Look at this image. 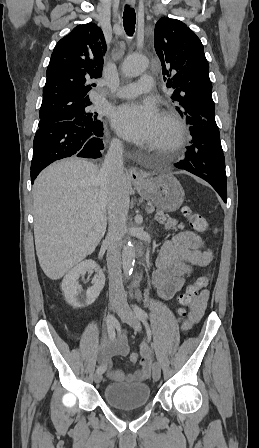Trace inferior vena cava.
Listing matches in <instances>:
<instances>
[{"mask_svg":"<svg viewBox=\"0 0 259 448\" xmlns=\"http://www.w3.org/2000/svg\"><path fill=\"white\" fill-rule=\"evenodd\" d=\"M123 144L112 140L99 172L100 188L107 192V210L109 230L105 244L107 250V268L109 272V298L116 304H127L121 272L122 238L126 232L129 196L123 166Z\"/></svg>","mask_w":259,"mask_h":448,"instance_id":"602c4592","label":"inferior vena cava"}]
</instances>
